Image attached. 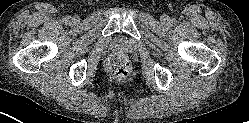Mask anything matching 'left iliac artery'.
<instances>
[{"label": "left iliac artery", "instance_id": "1", "mask_svg": "<svg viewBox=\"0 0 249 123\" xmlns=\"http://www.w3.org/2000/svg\"><path fill=\"white\" fill-rule=\"evenodd\" d=\"M170 24H171V25H175V24H176V20H175V19H171V20H170Z\"/></svg>", "mask_w": 249, "mask_h": 123}]
</instances>
